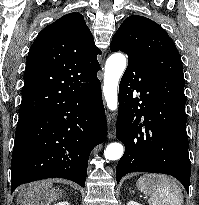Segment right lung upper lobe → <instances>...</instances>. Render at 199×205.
<instances>
[{"instance_id":"1","label":"right lung upper lobe","mask_w":199,"mask_h":205,"mask_svg":"<svg viewBox=\"0 0 199 205\" xmlns=\"http://www.w3.org/2000/svg\"><path fill=\"white\" fill-rule=\"evenodd\" d=\"M98 54L101 51L80 13L66 14L46 26L27 56L19 121L98 79Z\"/></svg>"}]
</instances>
